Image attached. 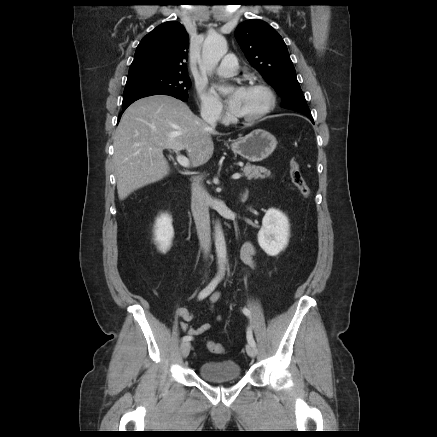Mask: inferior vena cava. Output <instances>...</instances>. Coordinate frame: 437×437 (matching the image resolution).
Returning <instances> with one entry per match:
<instances>
[{"mask_svg": "<svg viewBox=\"0 0 437 437\" xmlns=\"http://www.w3.org/2000/svg\"><path fill=\"white\" fill-rule=\"evenodd\" d=\"M219 111L204 110L201 113L203 120L209 124L211 128L216 127V122L219 118ZM200 178H197L191 189V210L194 217L197 235L200 245L205 254L210 251L211 247V230L209 217V195L200 183Z\"/></svg>", "mask_w": 437, "mask_h": 437, "instance_id": "602c4592", "label": "inferior vena cava"}]
</instances>
